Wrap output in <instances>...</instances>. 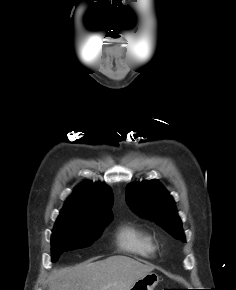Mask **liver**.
<instances>
[{
    "instance_id": "1",
    "label": "liver",
    "mask_w": 236,
    "mask_h": 290,
    "mask_svg": "<svg viewBox=\"0 0 236 290\" xmlns=\"http://www.w3.org/2000/svg\"><path fill=\"white\" fill-rule=\"evenodd\" d=\"M153 269V265L122 255L86 261L73 267L53 269L48 277L49 290H129L135 281Z\"/></svg>"
}]
</instances>
